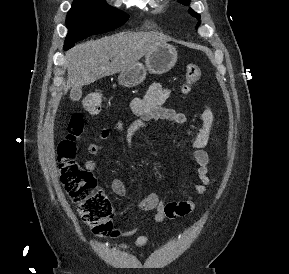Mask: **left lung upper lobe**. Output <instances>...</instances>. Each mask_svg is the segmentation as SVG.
Instances as JSON below:
<instances>
[{"instance_id": "1", "label": "left lung upper lobe", "mask_w": 289, "mask_h": 274, "mask_svg": "<svg viewBox=\"0 0 289 274\" xmlns=\"http://www.w3.org/2000/svg\"><path fill=\"white\" fill-rule=\"evenodd\" d=\"M180 3H182L183 5L188 6L189 5V0H179ZM189 14H191L192 16L196 17L197 19H200V15L197 14L196 12H194L192 9L188 10ZM200 24V22H198L197 26Z\"/></svg>"}]
</instances>
